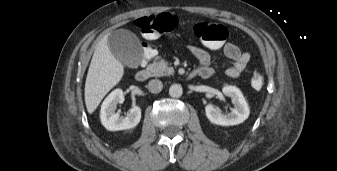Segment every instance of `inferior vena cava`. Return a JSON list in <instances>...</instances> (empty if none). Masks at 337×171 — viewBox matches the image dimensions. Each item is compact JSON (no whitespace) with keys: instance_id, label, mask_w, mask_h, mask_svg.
<instances>
[{"instance_id":"obj_1","label":"inferior vena cava","mask_w":337,"mask_h":171,"mask_svg":"<svg viewBox=\"0 0 337 171\" xmlns=\"http://www.w3.org/2000/svg\"><path fill=\"white\" fill-rule=\"evenodd\" d=\"M162 88H163V84L158 79L150 80L149 83H148V90L151 93H159V92H161Z\"/></svg>"}]
</instances>
